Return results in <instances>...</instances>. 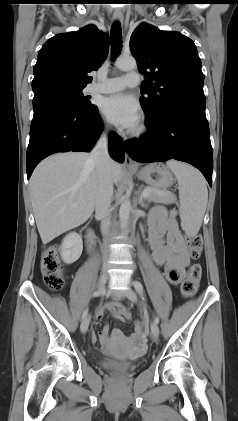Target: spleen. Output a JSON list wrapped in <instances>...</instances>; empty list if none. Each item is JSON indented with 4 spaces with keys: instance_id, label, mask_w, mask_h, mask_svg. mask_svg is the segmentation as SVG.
Listing matches in <instances>:
<instances>
[{
    "instance_id": "1",
    "label": "spleen",
    "mask_w": 238,
    "mask_h": 421,
    "mask_svg": "<svg viewBox=\"0 0 238 421\" xmlns=\"http://www.w3.org/2000/svg\"><path fill=\"white\" fill-rule=\"evenodd\" d=\"M166 165L178 182L181 227L188 236H196L208 202L206 181L202 174L189 164L169 160Z\"/></svg>"
}]
</instances>
